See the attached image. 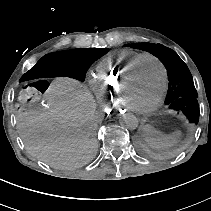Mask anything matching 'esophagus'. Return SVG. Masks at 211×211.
Returning <instances> with one entry per match:
<instances>
[{
  "instance_id": "esophagus-1",
  "label": "esophagus",
  "mask_w": 211,
  "mask_h": 211,
  "mask_svg": "<svg viewBox=\"0 0 211 211\" xmlns=\"http://www.w3.org/2000/svg\"><path fill=\"white\" fill-rule=\"evenodd\" d=\"M130 112V107L129 106H124V107H118L116 109H114L113 114L116 117L119 116H123L125 115V113H129Z\"/></svg>"
}]
</instances>
